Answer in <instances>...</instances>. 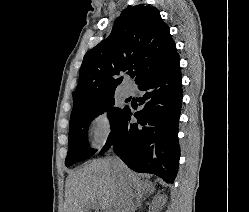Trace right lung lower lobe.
Returning a JSON list of instances; mask_svg holds the SVG:
<instances>
[{
	"instance_id": "98d812e1",
	"label": "right lung lower lobe",
	"mask_w": 249,
	"mask_h": 212,
	"mask_svg": "<svg viewBox=\"0 0 249 212\" xmlns=\"http://www.w3.org/2000/svg\"><path fill=\"white\" fill-rule=\"evenodd\" d=\"M145 91L139 112L126 107L112 127L100 154L113 148L131 169L152 173L173 183L178 172V122L182 103L180 59L177 54L138 85ZM137 123H131L132 117Z\"/></svg>"
}]
</instances>
